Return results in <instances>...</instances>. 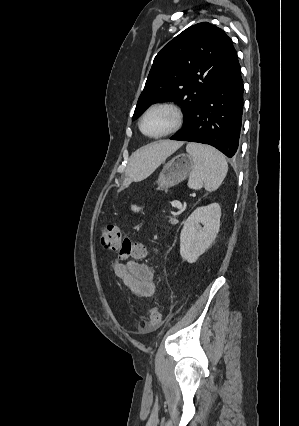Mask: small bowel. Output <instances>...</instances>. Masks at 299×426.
Listing matches in <instances>:
<instances>
[{
	"instance_id": "c3829d8e",
	"label": "small bowel",
	"mask_w": 299,
	"mask_h": 426,
	"mask_svg": "<svg viewBox=\"0 0 299 426\" xmlns=\"http://www.w3.org/2000/svg\"><path fill=\"white\" fill-rule=\"evenodd\" d=\"M115 275L129 290L139 297H150L155 291L154 270L147 264L129 260L113 263Z\"/></svg>"
}]
</instances>
